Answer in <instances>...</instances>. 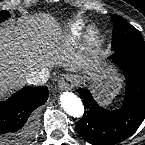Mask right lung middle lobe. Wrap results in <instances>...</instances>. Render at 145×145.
I'll return each instance as SVG.
<instances>
[{
	"mask_svg": "<svg viewBox=\"0 0 145 145\" xmlns=\"http://www.w3.org/2000/svg\"><path fill=\"white\" fill-rule=\"evenodd\" d=\"M9 17V13L7 11H0V23L6 20Z\"/></svg>",
	"mask_w": 145,
	"mask_h": 145,
	"instance_id": "dd1d6c3e",
	"label": "right lung middle lobe"
}]
</instances>
